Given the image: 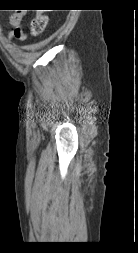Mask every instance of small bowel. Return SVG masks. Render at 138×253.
<instances>
[{"instance_id": "small-bowel-1", "label": "small bowel", "mask_w": 138, "mask_h": 253, "mask_svg": "<svg viewBox=\"0 0 138 253\" xmlns=\"http://www.w3.org/2000/svg\"><path fill=\"white\" fill-rule=\"evenodd\" d=\"M22 13H14L10 17V24L13 29L9 33L10 39H16L19 41H25L27 39V34L23 31L21 26Z\"/></svg>"}]
</instances>
